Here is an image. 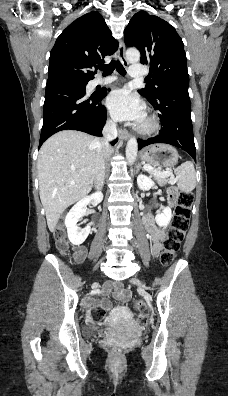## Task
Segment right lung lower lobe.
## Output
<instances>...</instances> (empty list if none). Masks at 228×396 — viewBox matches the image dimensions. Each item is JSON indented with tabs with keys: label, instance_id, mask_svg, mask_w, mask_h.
Wrapping results in <instances>:
<instances>
[{
	"label": "right lung lower lobe",
	"instance_id": "obj_1",
	"mask_svg": "<svg viewBox=\"0 0 228 396\" xmlns=\"http://www.w3.org/2000/svg\"><path fill=\"white\" fill-rule=\"evenodd\" d=\"M106 94L104 89L86 95L84 90L65 84L46 87L39 147L51 135L66 129L102 136L107 113L100 102Z\"/></svg>",
	"mask_w": 228,
	"mask_h": 396
}]
</instances>
